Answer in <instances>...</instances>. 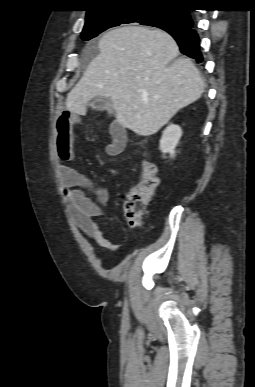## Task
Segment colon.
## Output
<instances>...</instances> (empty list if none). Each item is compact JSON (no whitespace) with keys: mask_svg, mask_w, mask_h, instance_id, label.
I'll return each mask as SVG.
<instances>
[{"mask_svg":"<svg viewBox=\"0 0 255 387\" xmlns=\"http://www.w3.org/2000/svg\"><path fill=\"white\" fill-rule=\"evenodd\" d=\"M139 182L133 186L125 197V215L132 228L143 227V219L147 206L151 202L158 186L156 166L143 160Z\"/></svg>","mask_w":255,"mask_h":387,"instance_id":"obj_1","label":"colon"}]
</instances>
